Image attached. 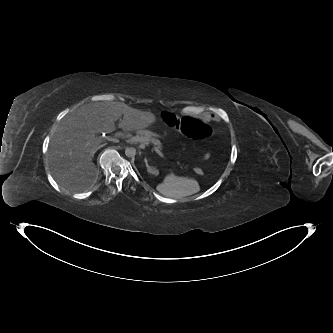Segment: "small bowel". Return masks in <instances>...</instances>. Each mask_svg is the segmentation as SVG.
Instances as JSON below:
<instances>
[{"label":"small bowel","mask_w":333,"mask_h":333,"mask_svg":"<svg viewBox=\"0 0 333 333\" xmlns=\"http://www.w3.org/2000/svg\"><path fill=\"white\" fill-rule=\"evenodd\" d=\"M209 157H210V153H209V152H206V153L203 155L202 160H207Z\"/></svg>","instance_id":"c3829d8e"}]
</instances>
